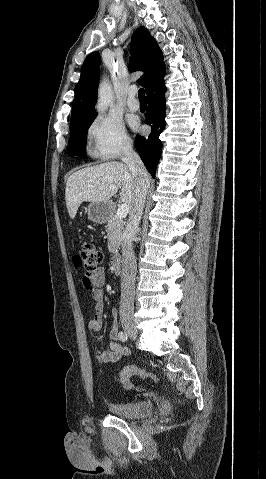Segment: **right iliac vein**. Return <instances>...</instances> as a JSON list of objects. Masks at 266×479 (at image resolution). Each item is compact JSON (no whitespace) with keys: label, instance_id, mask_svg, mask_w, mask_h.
I'll return each instance as SVG.
<instances>
[{"label":"right iliac vein","instance_id":"1","mask_svg":"<svg viewBox=\"0 0 266 479\" xmlns=\"http://www.w3.org/2000/svg\"><path fill=\"white\" fill-rule=\"evenodd\" d=\"M124 330L127 332V334L135 340L137 338V329L135 327V324L133 322H124L122 324Z\"/></svg>","mask_w":266,"mask_h":479}]
</instances>
